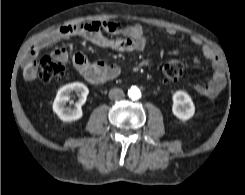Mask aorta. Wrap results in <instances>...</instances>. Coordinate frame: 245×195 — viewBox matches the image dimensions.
I'll list each match as a JSON object with an SVG mask.
<instances>
[{
  "mask_svg": "<svg viewBox=\"0 0 245 195\" xmlns=\"http://www.w3.org/2000/svg\"><path fill=\"white\" fill-rule=\"evenodd\" d=\"M128 96L131 100H137L141 97V91L139 88L133 86L128 90Z\"/></svg>",
  "mask_w": 245,
  "mask_h": 195,
  "instance_id": "obj_1",
  "label": "aorta"
}]
</instances>
